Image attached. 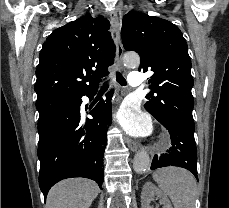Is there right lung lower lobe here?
<instances>
[{
  "mask_svg": "<svg viewBox=\"0 0 229 208\" xmlns=\"http://www.w3.org/2000/svg\"><path fill=\"white\" fill-rule=\"evenodd\" d=\"M96 91L87 94L92 98ZM81 118V97L38 123L39 186L46 199L49 189L65 178L85 177L103 183L106 125L111 122L112 92ZM102 189V188H101Z\"/></svg>",
  "mask_w": 229,
  "mask_h": 208,
  "instance_id": "right-lung-lower-lobe-1",
  "label": "right lung lower lobe"
}]
</instances>
